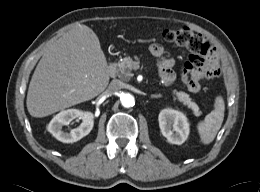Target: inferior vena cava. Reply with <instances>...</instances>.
<instances>
[{"label": "inferior vena cava", "mask_w": 260, "mask_h": 192, "mask_svg": "<svg viewBox=\"0 0 260 192\" xmlns=\"http://www.w3.org/2000/svg\"><path fill=\"white\" fill-rule=\"evenodd\" d=\"M122 87H123V83H122L120 80H118V79H113V80L110 82L107 91H108V92L118 91V90H120Z\"/></svg>", "instance_id": "602c4592"}]
</instances>
